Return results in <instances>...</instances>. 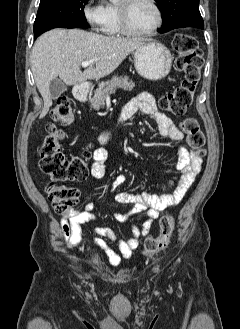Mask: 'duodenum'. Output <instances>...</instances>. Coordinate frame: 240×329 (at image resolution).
Returning <instances> with one entry per match:
<instances>
[{"mask_svg": "<svg viewBox=\"0 0 240 329\" xmlns=\"http://www.w3.org/2000/svg\"><path fill=\"white\" fill-rule=\"evenodd\" d=\"M73 96L78 101H85L87 98V89L86 86L79 84L73 88Z\"/></svg>", "mask_w": 240, "mask_h": 329, "instance_id": "1", "label": "duodenum"}]
</instances>
